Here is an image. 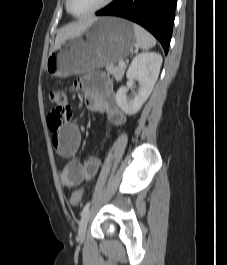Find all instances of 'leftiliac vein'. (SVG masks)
I'll return each mask as SVG.
<instances>
[{
    "mask_svg": "<svg viewBox=\"0 0 227 265\" xmlns=\"http://www.w3.org/2000/svg\"><path fill=\"white\" fill-rule=\"evenodd\" d=\"M89 218H90V210L88 209L87 211L83 213L81 221L79 223L78 239L80 242H82L85 238L86 228H87Z\"/></svg>",
    "mask_w": 227,
    "mask_h": 265,
    "instance_id": "4c4485c4",
    "label": "left iliac vein"
}]
</instances>
